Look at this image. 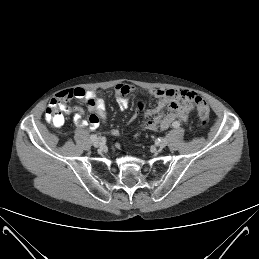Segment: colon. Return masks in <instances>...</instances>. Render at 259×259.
<instances>
[{"mask_svg": "<svg viewBox=\"0 0 259 259\" xmlns=\"http://www.w3.org/2000/svg\"><path fill=\"white\" fill-rule=\"evenodd\" d=\"M194 102L197 106L199 120L204 125L209 119V106L206 101L199 96L194 99ZM139 108H143L142 103L139 104ZM45 118L49 123L56 126L63 123V116L60 111L59 102H50L48 108L46 109Z\"/></svg>", "mask_w": 259, "mask_h": 259, "instance_id": "5ec220e1", "label": "colon"}]
</instances>
